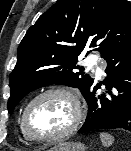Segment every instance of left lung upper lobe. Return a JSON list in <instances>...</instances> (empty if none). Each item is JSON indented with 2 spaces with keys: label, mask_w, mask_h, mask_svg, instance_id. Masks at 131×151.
I'll list each match as a JSON object with an SVG mask.
<instances>
[{
  "label": "left lung upper lobe",
  "mask_w": 131,
  "mask_h": 151,
  "mask_svg": "<svg viewBox=\"0 0 131 151\" xmlns=\"http://www.w3.org/2000/svg\"><path fill=\"white\" fill-rule=\"evenodd\" d=\"M130 40L131 7L126 0H58L18 47L9 78V113L30 91L48 84L79 88L85 97L94 79L76 66L78 56L94 48L105 59Z\"/></svg>",
  "instance_id": "obj_1"
}]
</instances>
